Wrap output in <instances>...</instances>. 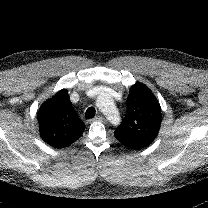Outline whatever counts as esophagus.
Returning a JSON list of instances; mask_svg holds the SVG:
<instances>
[{"label":"esophagus","mask_w":208,"mask_h":208,"mask_svg":"<svg viewBox=\"0 0 208 208\" xmlns=\"http://www.w3.org/2000/svg\"><path fill=\"white\" fill-rule=\"evenodd\" d=\"M94 120H95V121L106 122V119H105V117H103V116H100V115L96 116V117L94 118Z\"/></svg>","instance_id":"esophagus-1"}]
</instances>
